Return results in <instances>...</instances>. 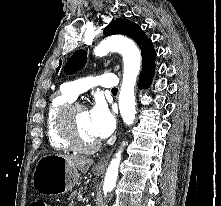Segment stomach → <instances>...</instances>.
I'll return each instance as SVG.
<instances>
[{
  "label": "stomach",
  "mask_w": 221,
  "mask_h": 206,
  "mask_svg": "<svg viewBox=\"0 0 221 206\" xmlns=\"http://www.w3.org/2000/svg\"><path fill=\"white\" fill-rule=\"evenodd\" d=\"M78 178V171L63 156L45 155L35 166L32 185L39 193L60 195L71 191Z\"/></svg>",
  "instance_id": "stomach-1"
}]
</instances>
